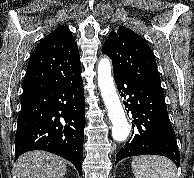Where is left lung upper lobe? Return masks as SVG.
<instances>
[{
  "mask_svg": "<svg viewBox=\"0 0 194 178\" xmlns=\"http://www.w3.org/2000/svg\"><path fill=\"white\" fill-rule=\"evenodd\" d=\"M102 53L112 60L115 76L162 89L151 48L131 29L118 26L112 30L102 47Z\"/></svg>",
  "mask_w": 194,
  "mask_h": 178,
  "instance_id": "1",
  "label": "left lung upper lobe"
}]
</instances>
